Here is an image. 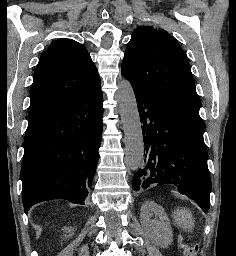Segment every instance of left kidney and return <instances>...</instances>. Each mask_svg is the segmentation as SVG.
<instances>
[{
	"mask_svg": "<svg viewBox=\"0 0 236 256\" xmlns=\"http://www.w3.org/2000/svg\"><path fill=\"white\" fill-rule=\"evenodd\" d=\"M155 214V220H151ZM141 226L155 246L168 248L173 240L172 228L164 208L155 202H144L140 212Z\"/></svg>",
	"mask_w": 236,
	"mask_h": 256,
	"instance_id": "1",
	"label": "left kidney"
}]
</instances>
